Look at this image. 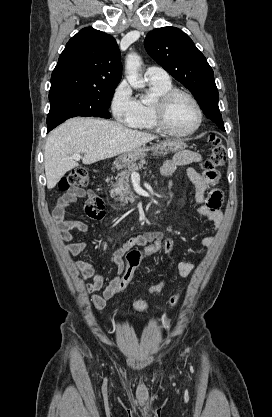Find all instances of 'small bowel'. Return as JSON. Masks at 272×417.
<instances>
[{
  "label": "small bowel",
  "mask_w": 272,
  "mask_h": 417,
  "mask_svg": "<svg viewBox=\"0 0 272 417\" xmlns=\"http://www.w3.org/2000/svg\"><path fill=\"white\" fill-rule=\"evenodd\" d=\"M203 158V155L197 152L183 150L165 161L160 172L165 177L171 176L176 172L178 167L200 162ZM185 174L195 186V200L199 203L196 209L197 213L210 221L215 228H218L223 217L221 211L223 197L222 193L217 189L220 174L216 170L206 171L204 174H200L192 168H187ZM81 198L86 199L84 211L89 218L100 220L104 217L102 198L90 189L86 190L78 187L69 188L58 199L53 210V219L57 225L59 237L66 242L64 247L65 252L72 256L83 254L88 247L84 242L74 241L77 233L88 232V225L82 221L68 220L65 218L67 208ZM162 236L164 235L161 231H148L129 239L122 246L115 249L110 255L109 260L116 267V272L106 286H104L103 276L97 271L93 263L86 261H77L75 263L81 279H91V282L84 285V289L88 294H91L90 300L95 308L102 309L106 302L116 295V284L125 269L124 255L141 242ZM213 243L214 238L212 236H205L200 240V245L205 248L211 247ZM176 269L178 274L185 278L193 272L195 264L186 260H179L176 263ZM100 290H102L101 295L94 294Z\"/></svg>",
  "instance_id": "obj_1"
}]
</instances>
